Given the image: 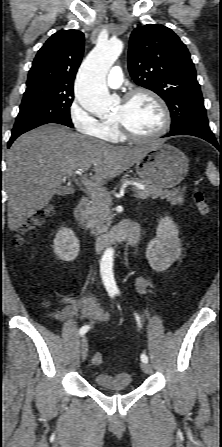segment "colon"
<instances>
[{
    "label": "colon",
    "instance_id": "1",
    "mask_svg": "<svg viewBox=\"0 0 222 447\" xmlns=\"http://www.w3.org/2000/svg\"><path fill=\"white\" fill-rule=\"evenodd\" d=\"M193 199L199 213L203 217H207L209 214V206L206 202L204 193L199 189L194 190ZM49 214L50 211L45 210L40 214L34 216L31 220H29L23 227L21 233L17 236L16 244L17 245L22 244L24 241V236L34 231L37 227H39L45 221V219L48 217ZM102 360H103L102 355L100 353H95L92 359L94 364H100Z\"/></svg>",
    "mask_w": 222,
    "mask_h": 447
}]
</instances>
